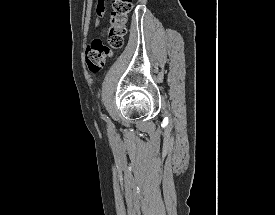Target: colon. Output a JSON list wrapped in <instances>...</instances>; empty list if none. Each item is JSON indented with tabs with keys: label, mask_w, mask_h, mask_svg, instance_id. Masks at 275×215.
<instances>
[{
	"label": "colon",
	"mask_w": 275,
	"mask_h": 215,
	"mask_svg": "<svg viewBox=\"0 0 275 215\" xmlns=\"http://www.w3.org/2000/svg\"><path fill=\"white\" fill-rule=\"evenodd\" d=\"M112 6L110 25L104 32V38L92 39L85 49V62L91 72L103 70L106 61L123 45L132 0H113Z\"/></svg>",
	"instance_id": "obj_1"
}]
</instances>
